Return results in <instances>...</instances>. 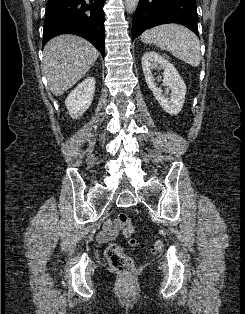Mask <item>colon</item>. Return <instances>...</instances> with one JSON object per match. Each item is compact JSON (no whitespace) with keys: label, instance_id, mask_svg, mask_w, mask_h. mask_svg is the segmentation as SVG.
Wrapping results in <instances>:
<instances>
[{"label":"colon","instance_id":"5ec220e1","mask_svg":"<svg viewBox=\"0 0 245 314\" xmlns=\"http://www.w3.org/2000/svg\"><path fill=\"white\" fill-rule=\"evenodd\" d=\"M116 222L122 229L123 235L129 239L132 246L137 245V241L134 238V227L130 217L120 212L116 216ZM162 249V243L157 241L152 244L150 251L153 254L158 253ZM106 258L109 261L111 267L116 271L123 274H130L134 270V263L132 259L124 252L123 248L119 244H111L106 249Z\"/></svg>","mask_w":245,"mask_h":314}]
</instances>
